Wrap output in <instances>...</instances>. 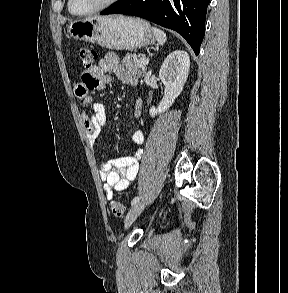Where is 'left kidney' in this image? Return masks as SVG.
I'll use <instances>...</instances> for the list:
<instances>
[{
    "label": "left kidney",
    "mask_w": 288,
    "mask_h": 293,
    "mask_svg": "<svg viewBox=\"0 0 288 293\" xmlns=\"http://www.w3.org/2000/svg\"><path fill=\"white\" fill-rule=\"evenodd\" d=\"M189 67L190 58L187 52L177 50L167 56L159 71L160 80L165 86L164 96L157 108H150L151 117L167 111L172 106L187 81Z\"/></svg>",
    "instance_id": "obj_1"
}]
</instances>
